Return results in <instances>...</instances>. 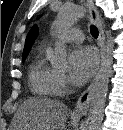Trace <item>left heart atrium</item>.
<instances>
[{
	"label": "left heart atrium",
	"mask_w": 123,
	"mask_h": 130,
	"mask_svg": "<svg viewBox=\"0 0 123 130\" xmlns=\"http://www.w3.org/2000/svg\"><path fill=\"white\" fill-rule=\"evenodd\" d=\"M98 58L94 49L79 47L70 57V75L77 83L86 82L97 68Z\"/></svg>",
	"instance_id": "39dd6f15"
}]
</instances>
